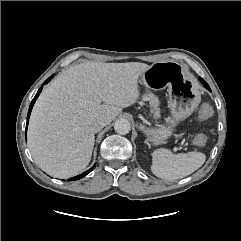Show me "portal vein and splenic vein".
Wrapping results in <instances>:
<instances>
[{
  "label": "portal vein and splenic vein",
  "instance_id": "obj_1",
  "mask_svg": "<svg viewBox=\"0 0 241 241\" xmlns=\"http://www.w3.org/2000/svg\"><path fill=\"white\" fill-rule=\"evenodd\" d=\"M179 149H181V148L175 147V148L173 149V151H174V152H177V150H179Z\"/></svg>",
  "mask_w": 241,
  "mask_h": 241
}]
</instances>
